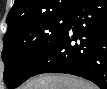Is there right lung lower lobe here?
<instances>
[{
    "instance_id": "98d812e1",
    "label": "right lung lower lobe",
    "mask_w": 107,
    "mask_h": 89,
    "mask_svg": "<svg viewBox=\"0 0 107 89\" xmlns=\"http://www.w3.org/2000/svg\"><path fill=\"white\" fill-rule=\"evenodd\" d=\"M69 24L34 75L68 73L107 87V1L79 0Z\"/></svg>"
}]
</instances>
